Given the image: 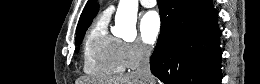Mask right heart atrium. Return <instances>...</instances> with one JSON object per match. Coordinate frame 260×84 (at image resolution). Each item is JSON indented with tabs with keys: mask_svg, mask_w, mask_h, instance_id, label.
Masks as SVG:
<instances>
[{
	"mask_svg": "<svg viewBox=\"0 0 260 84\" xmlns=\"http://www.w3.org/2000/svg\"><path fill=\"white\" fill-rule=\"evenodd\" d=\"M150 50L140 41H121V56L127 68H135L145 61Z\"/></svg>",
	"mask_w": 260,
	"mask_h": 84,
	"instance_id": "d8ad5b80",
	"label": "right heart atrium"
}]
</instances>
